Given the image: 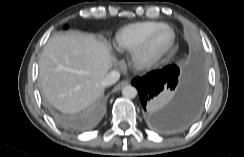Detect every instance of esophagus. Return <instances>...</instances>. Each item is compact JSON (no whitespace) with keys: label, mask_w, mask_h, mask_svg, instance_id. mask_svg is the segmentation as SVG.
Segmentation results:
<instances>
[{"label":"esophagus","mask_w":244,"mask_h":157,"mask_svg":"<svg viewBox=\"0 0 244 157\" xmlns=\"http://www.w3.org/2000/svg\"><path fill=\"white\" fill-rule=\"evenodd\" d=\"M129 84V81L128 80H123V81H120L114 88H113V91L114 92H117L119 90H121L123 87H125L126 85Z\"/></svg>","instance_id":"1"}]
</instances>
